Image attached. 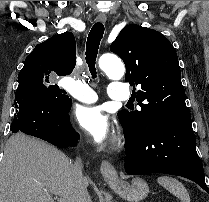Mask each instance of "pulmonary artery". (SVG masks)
Returning <instances> with one entry per match:
<instances>
[{
	"mask_svg": "<svg viewBox=\"0 0 209 202\" xmlns=\"http://www.w3.org/2000/svg\"><path fill=\"white\" fill-rule=\"evenodd\" d=\"M62 84L75 99L81 102L92 103L97 100L95 92L76 78L64 79ZM109 96L112 100L127 101L129 99V90L122 86L120 81L111 80Z\"/></svg>",
	"mask_w": 209,
	"mask_h": 202,
	"instance_id": "pulmonary-artery-1",
	"label": "pulmonary artery"
}]
</instances>
